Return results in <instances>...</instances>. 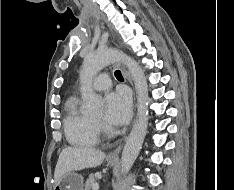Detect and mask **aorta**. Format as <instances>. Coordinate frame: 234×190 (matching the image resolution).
<instances>
[{
  "mask_svg": "<svg viewBox=\"0 0 234 190\" xmlns=\"http://www.w3.org/2000/svg\"><path fill=\"white\" fill-rule=\"evenodd\" d=\"M122 61L128 67L137 94V116L122 152L121 171L128 173L142 147L148 126V84L144 71L129 56L113 48L98 49L87 55L83 61L81 82L82 98L87 112H97L102 106V98L91 89L93 77L105 66Z\"/></svg>",
  "mask_w": 234,
  "mask_h": 190,
  "instance_id": "obj_1",
  "label": "aorta"
}]
</instances>
